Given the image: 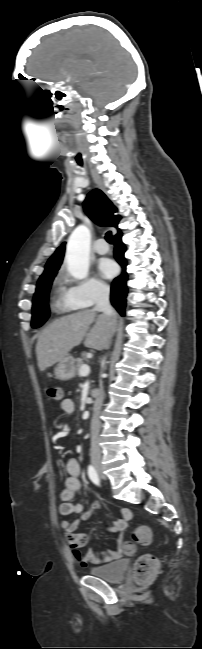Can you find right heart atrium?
I'll use <instances>...</instances> for the list:
<instances>
[{
  "label": "right heart atrium",
  "instance_id": "1",
  "mask_svg": "<svg viewBox=\"0 0 202 649\" xmlns=\"http://www.w3.org/2000/svg\"><path fill=\"white\" fill-rule=\"evenodd\" d=\"M109 292L102 280L89 277L82 280H69L62 296V305L69 310L88 308L104 299Z\"/></svg>",
  "mask_w": 202,
  "mask_h": 649
}]
</instances>
